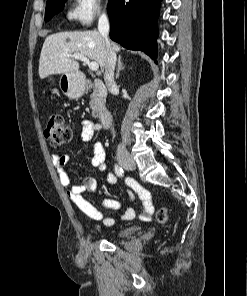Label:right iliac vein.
<instances>
[{"label": "right iliac vein", "instance_id": "obj_1", "mask_svg": "<svg viewBox=\"0 0 247 296\" xmlns=\"http://www.w3.org/2000/svg\"><path fill=\"white\" fill-rule=\"evenodd\" d=\"M119 163L128 170L135 169V162L130 156L127 155H120L119 156Z\"/></svg>", "mask_w": 247, "mask_h": 296}]
</instances>
